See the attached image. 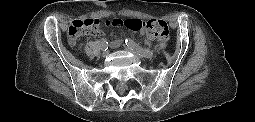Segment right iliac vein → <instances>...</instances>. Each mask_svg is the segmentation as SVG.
Listing matches in <instances>:
<instances>
[{
    "mask_svg": "<svg viewBox=\"0 0 255 122\" xmlns=\"http://www.w3.org/2000/svg\"><path fill=\"white\" fill-rule=\"evenodd\" d=\"M108 54H109V50H104L103 53H102V56L107 57Z\"/></svg>",
    "mask_w": 255,
    "mask_h": 122,
    "instance_id": "1",
    "label": "right iliac vein"
}]
</instances>
